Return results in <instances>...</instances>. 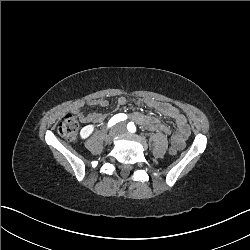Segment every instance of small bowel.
Returning <instances> with one entry per match:
<instances>
[{"instance_id": "c3829d8e", "label": "small bowel", "mask_w": 250, "mask_h": 250, "mask_svg": "<svg viewBox=\"0 0 250 250\" xmlns=\"http://www.w3.org/2000/svg\"><path fill=\"white\" fill-rule=\"evenodd\" d=\"M99 100L103 101L99 102ZM144 102L148 107L157 111L161 116L168 117L175 123L176 132L171 138V143L176 144L178 146V149H181L190 135V128L187 124L186 117L176 107L172 106L169 103L160 102L151 97L145 98ZM117 104L118 106L126 105V97L120 96L117 100ZM90 105L97 107H106L108 105V102L105 99H97L90 101ZM76 113L82 121L88 123L100 124L105 120V117L98 113L84 114L79 112L78 110H76ZM131 119L151 131L161 132L166 135L171 134L170 126L162 122L156 116L136 112L131 115Z\"/></svg>"}]
</instances>
